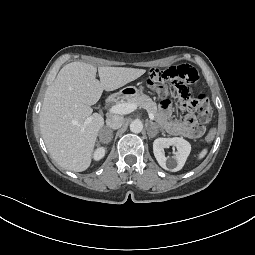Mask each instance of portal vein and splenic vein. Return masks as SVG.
I'll return each mask as SVG.
<instances>
[{
	"label": "portal vein and splenic vein",
	"instance_id": "18ae733b",
	"mask_svg": "<svg viewBox=\"0 0 255 255\" xmlns=\"http://www.w3.org/2000/svg\"><path fill=\"white\" fill-rule=\"evenodd\" d=\"M137 104L135 103H128V102H124V103H118L112 107L109 108V112L112 114H120V115H124V114H129L131 112H133L134 110L137 109ZM149 118L151 120H154V115L151 112H148ZM92 118L89 117L86 119L85 123H89L91 122Z\"/></svg>",
	"mask_w": 255,
	"mask_h": 255
}]
</instances>
